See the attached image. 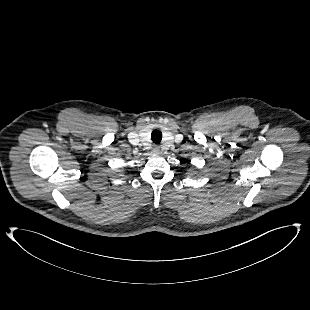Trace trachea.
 Segmentation results:
<instances>
[{
  "label": "trachea",
  "mask_w": 310,
  "mask_h": 310,
  "mask_svg": "<svg viewBox=\"0 0 310 310\" xmlns=\"http://www.w3.org/2000/svg\"><path fill=\"white\" fill-rule=\"evenodd\" d=\"M151 140L156 143L159 144L162 140V133L159 130H153L151 133Z\"/></svg>",
  "instance_id": "3493384b"
}]
</instances>
